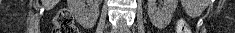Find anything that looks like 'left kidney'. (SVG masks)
I'll return each instance as SVG.
<instances>
[{"label": "left kidney", "mask_w": 235, "mask_h": 33, "mask_svg": "<svg viewBox=\"0 0 235 33\" xmlns=\"http://www.w3.org/2000/svg\"><path fill=\"white\" fill-rule=\"evenodd\" d=\"M147 1L150 20L158 26L167 25L173 17L178 0H160L159 7H157L156 0Z\"/></svg>", "instance_id": "obj_1"}]
</instances>
